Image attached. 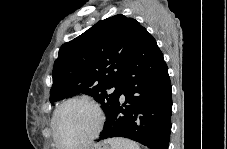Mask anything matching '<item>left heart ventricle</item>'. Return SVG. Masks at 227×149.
<instances>
[{
    "instance_id": "1",
    "label": "left heart ventricle",
    "mask_w": 227,
    "mask_h": 149,
    "mask_svg": "<svg viewBox=\"0 0 227 149\" xmlns=\"http://www.w3.org/2000/svg\"><path fill=\"white\" fill-rule=\"evenodd\" d=\"M96 115L94 111L80 103H73L64 107L56 121L57 134L62 144L82 141L94 129Z\"/></svg>"
}]
</instances>
